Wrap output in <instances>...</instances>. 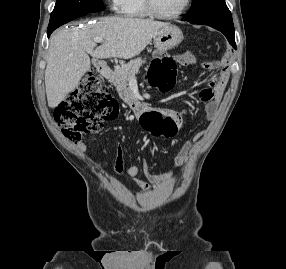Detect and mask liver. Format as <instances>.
Segmentation results:
<instances>
[{"label": "liver", "mask_w": 286, "mask_h": 269, "mask_svg": "<svg viewBox=\"0 0 286 269\" xmlns=\"http://www.w3.org/2000/svg\"><path fill=\"white\" fill-rule=\"evenodd\" d=\"M166 22L104 17L85 28L62 29L50 38L45 70L48 106L57 107L90 70L94 59H131L139 55ZM104 42L96 48L94 39Z\"/></svg>", "instance_id": "6515ba94"}]
</instances>
